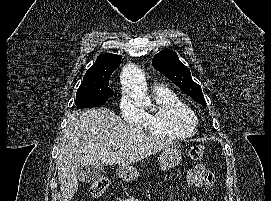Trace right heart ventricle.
<instances>
[{"label":"right heart ventricle","instance_id":"1","mask_svg":"<svg viewBox=\"0 0 271 201\" xmlns=\"http://www.w3.org/2000/svg\"><path fill=\"white\" fill-rule=\"evenodd\" d=\"M153 101V107L144 113V127L150 135L178 139L197 133L199 122L195 112L173 90L155 87Z\"/></svg>","mask_w":271,"mask_h":201}]
</instances>
